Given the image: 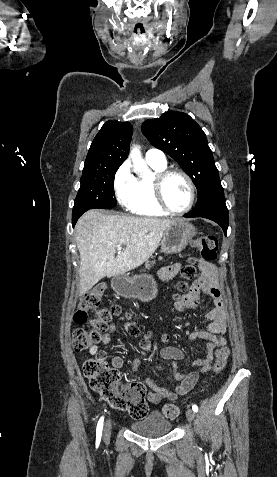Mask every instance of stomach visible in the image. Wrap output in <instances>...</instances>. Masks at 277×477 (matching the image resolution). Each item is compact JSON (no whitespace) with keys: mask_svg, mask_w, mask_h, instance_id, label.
<instances>
[{"mask_svg":"<svg viewBox=\"0 0 277 477\" xmlns=\"http://www.w3.org/2000/svg\"><path fill=\"white\" fill-rule=\"evenodd\" d=\"M196 228L182 219L175 220L164 232L161 250L165 254L179 253L192 241ZM113 289L121 296L148 302L156 297L157 286L146 274L133 277L116 276L112 279Z\"/></svg>","mask_w":277,"mask_h":477,"instance_id":"1","label":"stomach"}]
</instances>
